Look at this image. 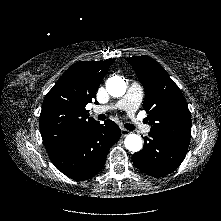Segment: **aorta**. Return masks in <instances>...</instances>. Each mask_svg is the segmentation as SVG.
<instances>
[{"instance_id": "1", "label": "aorta", "mask_w": 221, "mask_h": 221, "mask_svg": "<svg viewBox=\"0 0 221 221\" xmlns=\"http://www.w3.org/2000/svg\"><path fill=\"white\" fill-rule=\"evenodd\" d=\"M106 90L113 97H121L126 92V83L119 76L110 77L106 82ZM124 145L129 151L138 152L142 149V138L137 134H129L125 138Z\"/></svg>"}]
</instances>
